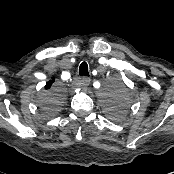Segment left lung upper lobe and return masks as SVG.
<instances>
[{
    "mask_svg": "<svg viewBox=\"0 0 174 174\" xmlns=\"http://www.w3.org/2000/svg\"><path fill=\"white\" fill-rule=\"evenodd\" d=\"M121 113H122V110L121 109H118V110L112 111L111 114H110V116L112 118L119 119L120 116H121Z\"/></svg>",
    "mask_w": 174,
    "mask_h": 174,
    "instance_id": "1",
    "label": "left lung upper lobe"
}]
</instances>
